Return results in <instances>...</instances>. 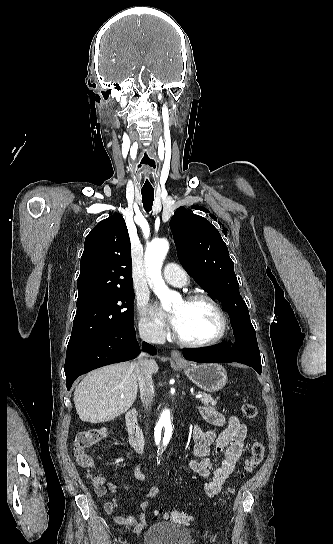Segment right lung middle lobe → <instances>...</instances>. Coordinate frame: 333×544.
<instances>
[{"instance_id": "obj_1", "label": "right lung middle lobe", "mask_w": 333, "mask_h": 544, "mask_svg": "<svg viewBox=\"0 0 333 544\" xmlns=\"http://www.w3.org/2000/svg\"><path fill=\"white\" fill-rule=\"evenodd\" d=\"M134 291L116 290L77 300L67 352L134 323Z\"/></svg>"}]
</instances>
